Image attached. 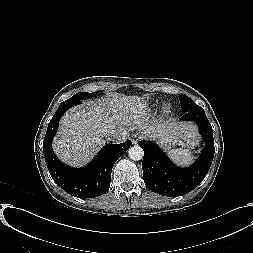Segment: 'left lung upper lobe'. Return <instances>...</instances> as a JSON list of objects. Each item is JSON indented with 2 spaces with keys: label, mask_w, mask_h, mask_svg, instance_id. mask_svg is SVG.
Here are the masks:
<instances>
[{
  "label": "left lung upper lobe",
  "mask_w": 253,
  "mask_h": 253,
  "mask_svg": "<svg viewBox=\"0 0 253 253\" xmlns=\"http://www.w3.org/2000/svg\"><path fill=\"white\" fill-rule=\"evenodd\" d=\"M178 97L180 99L181 108L184 112L202 109L191 98L182 94H179Z\"/></svg>",
  "instance_id": "left-lung-upper-lobe-1"
}]
</instances>
